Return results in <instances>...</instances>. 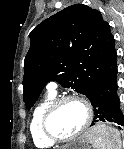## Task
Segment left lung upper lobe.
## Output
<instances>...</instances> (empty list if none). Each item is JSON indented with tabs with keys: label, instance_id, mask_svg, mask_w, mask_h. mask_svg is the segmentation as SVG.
<instances>
[{
	"label": "left lung upper lobe",
	"instance_id": "1",
	"mask_svg": "<svg viewBox=\"0 0 124 149\" xmlns=\"http://www.w3.org/2000/svg\"><path fill=\"white\" fill-rule=\"evenodd\" d=\"M29 37L23 78V99L28 109L51 80L86 95L117 68L110 26L98 10L86 5L75 4L52 15Z\"/></svg>",
	"mask_w": 124,
	"mask_h": 149
}]
</instances>
